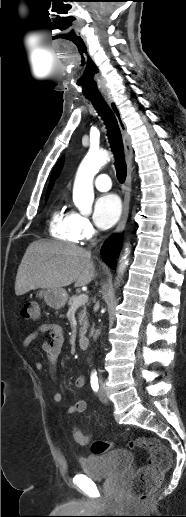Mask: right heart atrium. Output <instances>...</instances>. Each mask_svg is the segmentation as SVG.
<instances>
[{
	"instance_id": "d8ad5b80",
	"label": "right heart atrium",
	"mask_w": 186,
	"mask_h": 517,
	"mask_svg": "<svg viewBox=\"0 0 186 517\" xmlns=\"http://www.w3.org/2000/svg\"><path fill=\"white\" fill-rule=\"evenodd\" d=\"M73 225L79 240H90L96 235V229L89 218L79 212L72 211Z\"/></svg>"
}]
</instances>
